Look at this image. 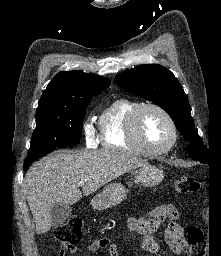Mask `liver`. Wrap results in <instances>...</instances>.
Segmentation results:
<instances>
[{"instance_id":"obj_1","label":"liver","mask_w":221,"mask_h":256,"mask_svg":"<svg viewBox=\"0 0 221 256\" xmlns=\"http://www.w3.org/2000/svg\"><path fill=\"white\" fill-rule=\"evenodd\" d=\"M148 164L146 160L117 150H60L34 163L23 190L35 219L38 235L50 230L55 203L73 205L121 175ZM84 182L82 192L78 183Z\"/></svg>"}]
</instances>
